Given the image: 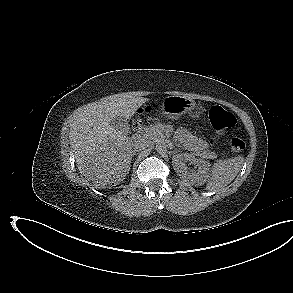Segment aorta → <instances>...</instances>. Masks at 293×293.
<instances>
[{"instance_id":"obj_1","label":"aorta","mask_w":293,"mask_h":293,"mask_svg":"<svg viewBox=\"0 0 293 293\" xmlns=\"http://www.w3.org/2000/svg\"><path fill=\"white\" fill-rule=\"evenodd\" d=\"M155 149H156V151H157L158 153L162 154V153L166 152V150H167V145H166L165 142L161 141V142H158V143L156 144V148H155Z\"/></svg>"}]
</instances>
